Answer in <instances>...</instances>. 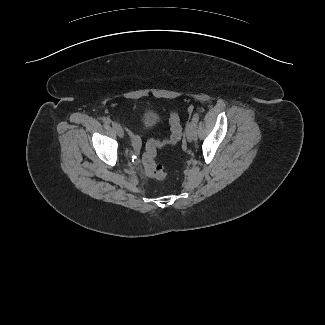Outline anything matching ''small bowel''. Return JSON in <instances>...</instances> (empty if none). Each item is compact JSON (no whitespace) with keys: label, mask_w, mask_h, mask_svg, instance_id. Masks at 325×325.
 Listing matches in <instances>:
<instances>
[{"label":"small bowel","mask_w":325,"mask_h":325,"mask_svg":"<svg viewBox=\"0 0 325 325\" xmlns=\"http://www.w3.org/2000/svg\"><path fill=\"white\" fill-rule=\"evenodd\" d=\"M131 139H132V145H133L134 150L136 152H138L142 147L140 136L138 134H136V133H132L131 134Z\"/></svg>","instance_id":"1"}]
</instances>
